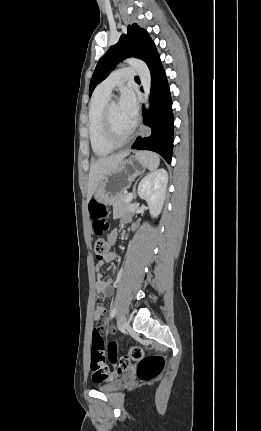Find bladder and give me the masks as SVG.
<instances>
[{"label":"bladder","instance_id":"obj_1","mask_svg":"<svg viewBox=\"0 0 261 431\" xmlns=\"http://www.w3.org/2000/svg\"><path fill=\"white\" fill-rule=\"evenodd\" d=\"M123 383H124L123 377H116V378H112V379L100 382L97 388L98 390L104 393H109L121 388Z\"/></svg>","mask_w":261,"mask_h":431}]
</instances>
